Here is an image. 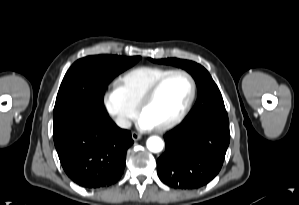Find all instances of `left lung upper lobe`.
Listing matches in <instances>:
<instances>
[{"label": "left lung upper lobe", "mask_w": 299, "mask_h": 205, "mask_svg": "<svg viewBox=\"0 0 299 205\" xmlns=\"http://www.w3.org/2000/svg\"><path fill=\"white\" fill-rule=\"evenodd\" d=\"M152 62L160 64H170L177 67H181L188 71L193 78L198 87V98L194 108L191 110L187 118H199L215 109H224V102L222 95L211 78L208 71L201 65L187 60H181L177 58H167V59H151Z\"/></svg>", "instance_id": "obj_1"}]
</instances>
